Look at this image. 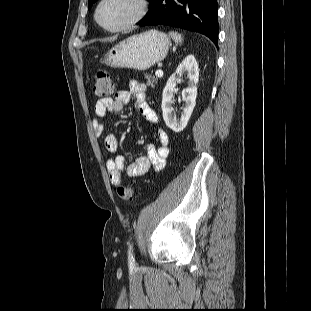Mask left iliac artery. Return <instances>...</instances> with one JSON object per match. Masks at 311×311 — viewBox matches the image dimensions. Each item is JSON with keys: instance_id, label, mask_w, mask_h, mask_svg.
<instances>
[{"instance_id": "1", "label": "left iliac artery", "mask_w": 311, "mask_h": 311, "mask_svg": "<svg viewBox=\"0 0 311 311\" xmlns=\"http://www.w3.org/2000/svg\"><path fill=\"white\" fill-rule=\"evenodd\" d=\"M128 263L130 265H134L135 263V260L133 257V245L132 244L129 245V249H128Z\"/></svg>"}]
</instances>
